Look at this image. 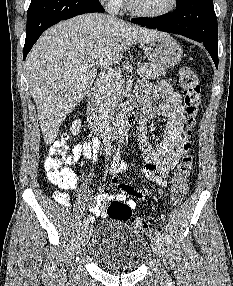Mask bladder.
<instances>
[{
	"label": "bladder",
	"instance_id": "obj_1",
	"mask_svg": "<svg viewBox=\"0 0 233 286\" xmlns=\"http://www.w3.org/2000/svg\"><path fill=\"white\" fill-rule=\"evenodd\" d=\"M149 255L150 247L144 236L119 220L101 225L89 244L93 263L109 273L133 272Z\"/></svg>",
	"mask_w": 233,
	"mask_h": 286
}]
</instances>
